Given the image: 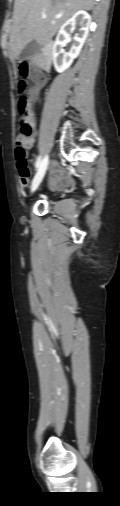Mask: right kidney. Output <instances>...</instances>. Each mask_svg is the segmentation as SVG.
Listing matches in <instances>:
<instances>
[{
  "mask_svg": "<svg viewBox=\"0 0 120 506\" xmlns=\"http://www.w3.org/2000/svg\"><path fill=\"white\" fill-rule=\"evenodd\" d=\"M90 24L91 16L86 11L80 10L62 25L53 47V63L57 72H64L79 55L88 36ZM76 25L80 26L79 33L74 36L72 47L69 53H66L62 47L65 41L70 39V34Z\"/></svg>",
  "mask_w": 120,
  "mask_h": 506,
  "instance_id": "1",
  "label": "right kidney"
}]
</instances>
